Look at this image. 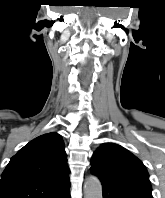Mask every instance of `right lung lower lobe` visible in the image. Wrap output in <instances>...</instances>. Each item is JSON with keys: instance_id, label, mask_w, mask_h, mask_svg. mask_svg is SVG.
<instances>
[{"instance_id": "right-lung-lower-lobe-1", "label": "right lung lower lobe", "mask_w": 165, "mask_h": 198, "mask_svg": "<svg viewBox=\"0 0 165 198\" xmlns=\"http://www.w3.org/2000/svg\"><path fill=\"white\" fill-rule=\"evenodd\" d=\"M62 198H71L70 197V192L68 191L64 196H62Z\"/></svg>"}]
</instances>
